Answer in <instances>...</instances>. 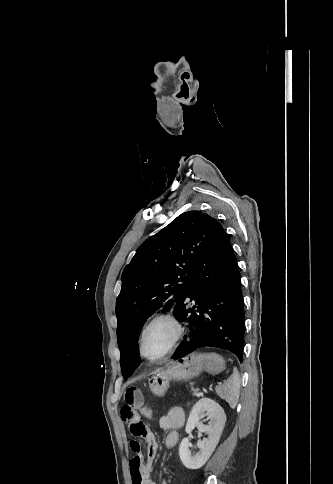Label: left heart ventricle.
I'll return each instance as SVG.
<instances>
[{"instance_id": "1", "label": "left heart ventricle", "mask_w": 333, "mask_h": 484, "mask_svg": "<svg viewBox=\"0 0 333 484\" xmlns=\"http://www.w3.org/2000/svg\"><path fill=\"white\" fill-rule=\"evenodd\" d=\"M173 333L172 326L167 322H159L153 325L145 336V352L152 357L159 355L167 346Z\"/></svg>"}]
</instances>
